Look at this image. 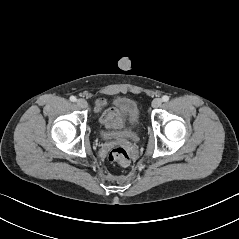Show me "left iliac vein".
I'll list each match as a JSON object with an SVG mask.
<instances>
[{
    "instance_id": "obj_1",
    "label": "left iliac vein",
    "mask_w": 239,
    "mask_h": 239,
    "mask_svg": "<svg viewBox=\"0 0 239 239\" xmlns=\"http://www.w3.org/2000/svg\"><path fill=\"white\" fill-rule=\"evenodd\" d=\"M162 104V99L161 98H155L153 101H152V107L153 108H158L160 107Z\"/></svg>"
}]
</instances>
